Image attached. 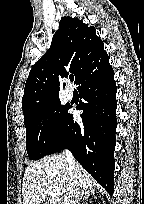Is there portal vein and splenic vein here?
<instances>
[{"mask_svg": "<svg viewBox=\"0 0 144 204\" xmlns=\"http://www.w3.org/2000/svg\"><path fill=\"white\" fill-rule=\"evenodd\" d=\"M46 192L52 198H58L61 194L59 189H57L56 187H52V186L47 187Z\"/></svg>", "mask_w": 144, "mask_h": 204, "instance_id": "1", "label": "portal vein and splenic vein"}]
</instances>
